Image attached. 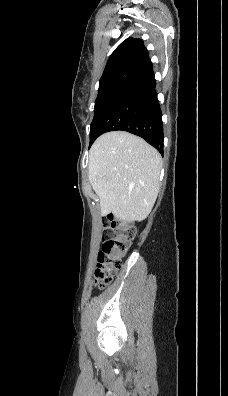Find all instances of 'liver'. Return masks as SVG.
I'll list each match as a JSON object with an SVG mask.
<instances>
[{"label":"liver","instance_id":"6515ba94","mask_svg":"<svg viewBox=\"0 0 228 396\" xmlns=\"http://www.w3.org/2000/svg\"><path fill=\"white\" fill-rule=\"evenodd\" d=\"M162 158L142 138L124 131L101 135L89 151V182L101 214L125 222L144 220L159 192Z\"/></svg>","mask_w":228,"mask_h":396}]
</instances>
